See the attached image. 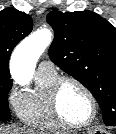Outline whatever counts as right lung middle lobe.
Wrapping results in <instances>:
<instances>
[{"instance_id": "right-lung-middle-lobe-1", "label": "right lung middle lobe", "mask_w": 116, "mask_h": 134, "mask_svg": "<svg viewBox=\"0 0 116 134\" xmlns=\"http://www.w3.org/2000/svg\"><path fill=\"white\" fill-rule=\"evenodd\" d=\"M13 85L12 80H0V120L11 117L8 105V93Z\"/></svg>"}]
</instances>
